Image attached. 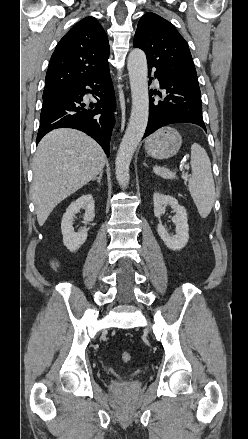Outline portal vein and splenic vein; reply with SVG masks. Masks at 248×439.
<instances>
[{"label":"portal vein and splenic vein","mask_w":248,"mask_h":439,"mask_svg":"<svg viewBox=\"0 0 248 439\" xmlns=\"http://www.w3.org/2000/svg\"><path fill=\"white\" fill-rule=\"evenodd\" d=\"M185 168H186V169H189V167H188V166H185ZM182 169H183V167H182V168H181L180 170H182ZM185 178H186V177H185Z\"/></svg>","instance_id":"portal-vein-and-splenic-vein-1"}]
</instances>
